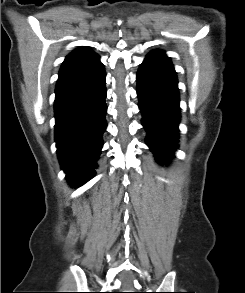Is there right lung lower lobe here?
<instances>
[{
	"label": "right lung lower lobe",
	"instance_id": "right-lung-lower-lobe-1",
	"mask_svg": "<svg viewBox=\"0 0 245 293\" xmlns=\"http://www.w3.org/2000/svg\"><path fill=\"white\" fill-rule=\"evenodd\" d=\"M105 70L55 91V142L66 178L81 186L95 173L107 126Z\"/></svg>",
	"mask_w": 245,
	"mask_h": 293
}]
</instances>
